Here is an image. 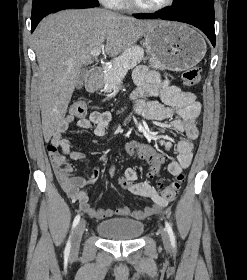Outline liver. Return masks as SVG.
I'll return each mask as SVG.
<instances>
[{
	"label": "liver",
	"instance_id": "1",
	"mask_svg": "<svg viewBox=\"0 0 247 280\" xmlns=\"http://www.w3.org/2000/svg\"><path fill=\"white\" fill-rule=\"evenodd\" d=\"M158 20H138L93 8L65 10L44 18L34 33L40 68L39 107L48 142L63 121L81 67L91 64V51L102 47L114 57L132 47Z\"/></svg>",
	"mask_w": 247,
	"mask_h": 280
}]
</instances>
